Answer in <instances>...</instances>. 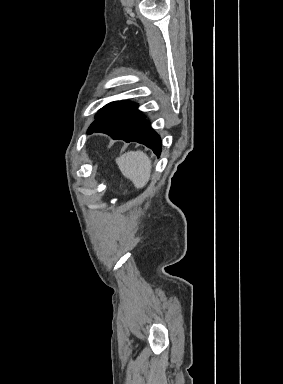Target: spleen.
I'll list each match as a JSON object with an SVG mask.
<instances>
[{"mask_svg":"<svg viewBox=\"0 0 283 384\" xmlns=\"http://www.w3.org/2000/svg\"><path fill=\"white\" fill-rule=\"evenodd\" d=\"M119 170L123 176L133 182L135 188H144L150 180L151 160L147 154L138 150V152H126L120 158H117Z\"/></svg>","mask_w":283,"mask_h":384,"instance_id":"obj_1","label":"spleen"}]
</instances>
